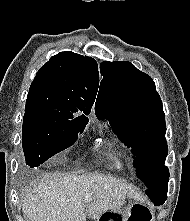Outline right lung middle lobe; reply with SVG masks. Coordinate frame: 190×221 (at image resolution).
<instances>
[{
	"mask_svg": "<svg viewBox=\"0 0 190 221\" xmlns=\"http://www.w3.org/2000/svg\"><path fill=\"white\" fill-rule=\"evenodd\" d=\"M88 118L31 112L23 119V151L26 164L37 167L75 143Z\"/></svg>",
	"mask_w": 190,
	"mask_h": 221,
	"instance_id": "1",
	"label": "right lung middle lobe"
}]
</instances>
